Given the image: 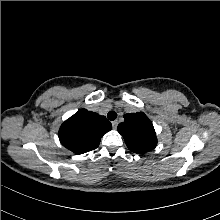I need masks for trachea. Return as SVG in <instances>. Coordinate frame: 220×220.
Returning a JSON list of instances; mask_svg holds the SVG:
<instances>
[{
  "label": "trachea",
  "instance_id": "1",
  "mask_svg": "<svg viewBox=\"0 0 220 220\" xmlns=\"http://www.w3.org/2000/svg\"><path fill=\"white\" fill-rule=\"evenodd\" d=\"M107 118L111 121L115 120L117 118V113L114 112V111H110L108 114H107Z\"/></svg>",
  "mask_w": 220,
  "mask_h": 220
}]
</instances>
